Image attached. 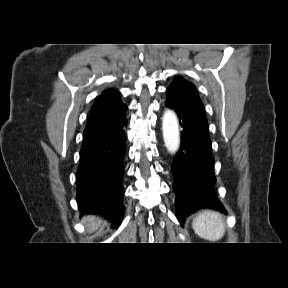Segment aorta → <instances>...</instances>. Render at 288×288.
<instances>
[{
	"instance_id": "762f6f07",
	"label": "aorta",
	"mask_w": 288,
	"mask_h": 288,
	"mask_svg": "<svg viewBox=\"0 0 288 288\" xmlns=\"http://www.w3.org/2000/svg\"><path fill=\"white\" fill-rule=\"evenodd\" d=\"M163 139L167 150L176 153L180 145L179 125L176 114L166 110L162 118Z\"/></svg>"
}]
</instances>
